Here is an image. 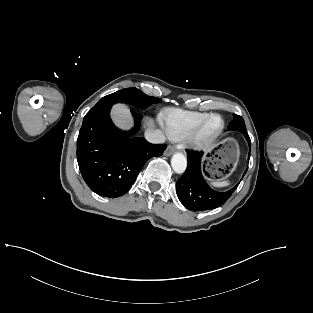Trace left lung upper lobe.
Instances as JSON below:
<instances>
[{
    "label": "left lung upper lobe",
    "instance_id": "1",
    "mask_svg": "<svg viewBox=\"0 0 313 313\" xmlns=\"http://www.w3.org/2000/svg\"><path fill=\"white\" fill-rule=\"evenodd\" d=\"M233 116H234V119L228 125V130L229 131L236 130V131H240L242 133L247 132L243 118L239 115H236V114H234Z\"/></svg>",
    "mask_w": 313,
    "mask_h": 313
}]
</instances>
